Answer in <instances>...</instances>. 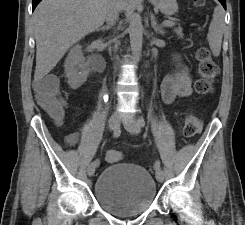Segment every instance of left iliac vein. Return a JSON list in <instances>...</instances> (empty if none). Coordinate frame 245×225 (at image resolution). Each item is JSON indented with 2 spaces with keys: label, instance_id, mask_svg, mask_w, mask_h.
Masks as SVG:
<instances>
[{
  "label": "left iliac vein",
  "instance_id": "obj_1",
  "mask_svg": "<svg viewBox=\"0 0 245 225\" xmlns=\"http://www.w3.org/2000/svg\"><path fill=\"white\" fill-rule=\"evenodd\" d=\"M124 126L127 129V131H129L131 134H138L141 131V126H140L139 122L136 121L135 119L126 121ZM156 179L159 182L163 181L164 173H163L162 169H159L156 172Z\"/></svg>",
  "mask_w": 245,
  "mask_h": 225
}]
</instances>
